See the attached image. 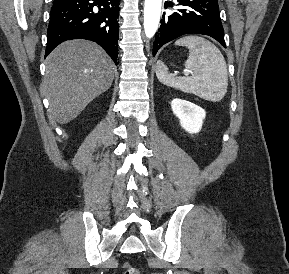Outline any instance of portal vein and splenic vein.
Here are the masks:
<instances>
[{"mask_svg":"<svg viewBox=\"0 0 289 274\" xmlns=\"http://www.w3.org/2000/svg\"><path fill=\"white\" fill-rule=\"evenodd\" d=\"M185 75H189V72H186Z\"/></svg>","mask_w":289,"mask_h":274,"instance_id":"18ae733b","label":"portal vein and splenic vein"}]
</instances>
